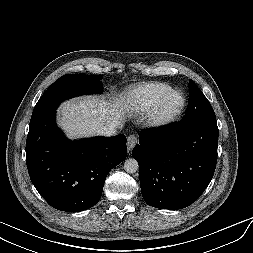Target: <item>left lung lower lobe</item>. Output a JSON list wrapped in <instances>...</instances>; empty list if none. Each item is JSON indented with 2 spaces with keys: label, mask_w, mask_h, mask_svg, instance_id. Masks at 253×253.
<instances>
[{
  "label": "left lung lower lobe",
  "mask_w": 253,
  "mask_h": 253,
  "mask_svg": "<svg viewBox=\"0 0 253 253\" xmlns=\"http://www.w3.org/2000/svg\"><path fill=\"white\" fill-rule=\"evenodd\" d=\"M218 133L216 119L141 131L132 156L145 202L161 209L195 202L214 175Z\"/></svg>",
  "instance_id": "obj_1"
}]
</instances>
